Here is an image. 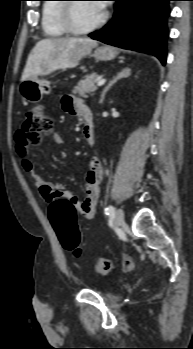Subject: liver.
<instances>
[{
	"label": "liver",
	"instance_id": "liver-1",
	"mask_svg": "<svg viewBox=\"0 0 193 349\" xmlns=\"http://www.w3.org/2000/svg\"><path fill=\"white\" fill-rule=\"evenodd\" d=\"M97 41L89 38H47L36 43L30 52L21 81L36 75L73 68L84 56L91 53Z\"/></svg>",
	"mask_w": 193,
	"mask_h": 349
}]
</instances>
